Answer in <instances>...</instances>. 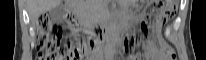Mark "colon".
<instances>
[{"label":"colon","instance_id":"obj_1","mask_svg":"<svg viewBox=\"0 0 206 60\" xmlns=\"http://www.w3.org/2000/svg\"><path fill=\"white\" fill-rule=\"evenodd\" d=\"M176 6V1H158L152 5V11L161 12L165 18L169 17ZM62 31L47 15H42L37 21V60H82L94 47L93 39L81 32L68 37L61 45ZM133 41L127 43L126 47L131 48ZM161 55L166 60L174 59V52L167 45H162Z\"/></svg>","mask_w":206,"mask_h":60}]
</instances>
